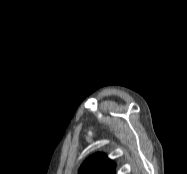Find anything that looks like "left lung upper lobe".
I'll return each instance as SVG.
<instances>
[{
    "label": "left lung upper lobe",
    "mask_w": 187,
    "mask_h": 174,
    "mask_svg": "<svg viewBox=\"0 0 187 174\" xmlns=\"http://www.w3.org/2000/svg\"><path fill=\"white\" fill-rule=\"evenodd\" d=\"M79 172L80 174H115V164L104 153H96L83 162Z\"/></svg>",
    "instance_id": "left-lung-upper-lobe-1"
}]
</instances>
